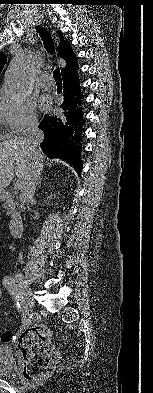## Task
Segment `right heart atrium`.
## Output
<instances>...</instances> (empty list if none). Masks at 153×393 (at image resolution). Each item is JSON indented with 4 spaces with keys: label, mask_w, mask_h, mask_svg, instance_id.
<instances>
[{
    "label": "right heart atrium",
    "mask_w": 153,
    "mask_h": 393,
    "mask_svg": "<svg viewBox=\"0 0 153 393\" xmlns=\"http://www.w3.org/2000/svg\"><path fill=\"white\" fill-rule=\"evenodd\" d=\"M0 121L12 135H20L36 128V108L29 100L8 99L0 106Z\"/></svg>",
    "instance_id": "obj_1"
}]
</instances>
